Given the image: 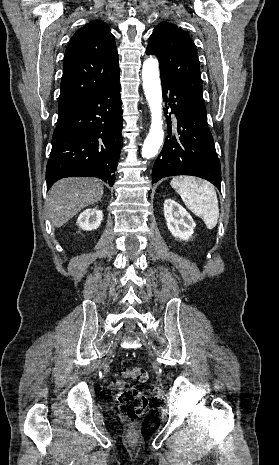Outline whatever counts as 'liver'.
I'll return each instance as SVG.
<instances>
[{
	"instance_id": "1",
	"label": "liver",
	"mask_w": 279,
	"mask_h": 465,
	"mask_svg": "<svg viewBox=\"0 0 279 465\" xmlns=\"http://www.w3.org/2000/svg\"><path fill=\"white\" fill-rule=\"evenodd\" d=\"M103 193V184L96 178L70 177L57 181L46 200L53 226H63L82 209L100 201Z\"/></svg>"
}]
</instances>
